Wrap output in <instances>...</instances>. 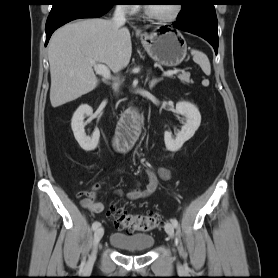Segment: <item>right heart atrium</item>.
Returning <instances> with one entry per match:
<instances>
[{
	"instance_id": "obj_1",
	"label": "right heart atrium",
	"mask_w": 278,
	"mask_h": 278,
	"mask_svg": "<svg viewBox=\"0 0 278 278\" xmlns=\"http://www.w3.org/2000/svg\"><path fill=\"white\" fill-rule=\"evenodd\" d=\"M122 8L127 11L128 13H135L138 10L137 5H132V4H124L122 5Z\"/></svg>"
}]
</instances>
